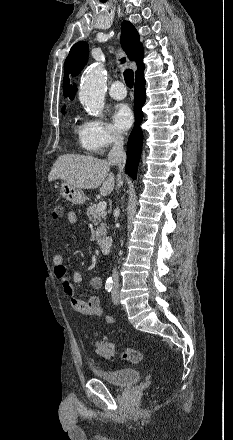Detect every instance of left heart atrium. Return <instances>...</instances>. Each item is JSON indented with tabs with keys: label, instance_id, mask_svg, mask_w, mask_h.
<instances>
[{
	"label": "left heart atrium",
	"instance_id": "1",
	"mask_svg": "<svg viewBox=\"0 0 233 440\" xmlns=\"http://www.w3.org/2000/svg\"><path fill=\"white\" fill-rule=\"evenodd\" d=\"M112 120L117 128L128 129L133 123V114L129 106L123 103L115 105L112 111Z\"/></svg>",
	"mask_w": 233,
	"mask_h": 440
}]
</instances>
